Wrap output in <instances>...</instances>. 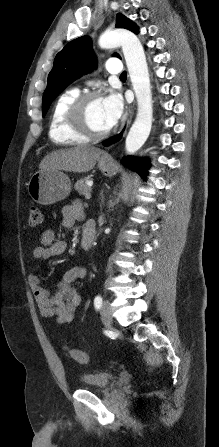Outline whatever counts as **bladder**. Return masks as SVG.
<instances>
[{
    "mask_svg": "<svg viewBox=\"0 0 219 447\" xmlns=\"http://www.w3.org/2000/svg\"><path fill=\"white\" fill-rule=\"evenodd\" d=\"M114 375L111 372L83 373L80 382L85 384L86 389H104L113 381Z\"/></svg>",
    "mask_w": 219,
    "mask_h": 447,
    "instance_id": "1",
    "label": "bladder"
}]
</instances>
